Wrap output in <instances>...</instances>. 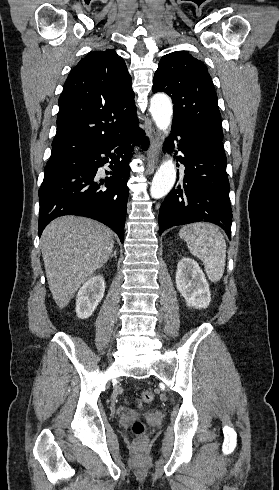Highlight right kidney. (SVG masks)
<instances>
[{"mask_svg": "<svg viewBox=\"0 0 279 490\" xmlns=\"http://www.w3.org/2000/svg\"><path fill=\"white\" fill-rule=\"evenodd\" d=\"M105 292L103 276H91L77 294L76 314L78 318H90L95 308L100 304Z\"/></svg>", "mask_w": 279, "mask_h": 490, "instance_id": "1", "label": "right kidney"}]
</instances>
